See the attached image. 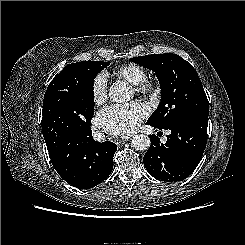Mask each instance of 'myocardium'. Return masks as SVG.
<instances>
[{
	"label": "myocardium",
	"mask_w": 245,
	"mask_h": 245,
	"mask_svg": "<svg viewBox=\"0 0 245 245\" xmlns=\"http://www.w3.org/2000/svg\"><path fill=\"white\" fill-rule=\"evenodd\" d=\"M134 89L136 92L146 95L155 93L158 89V86L154 80L146 78L140 83L134 85Z\"/></svg>",
	"instance_id": "1"
}]
</instances>
